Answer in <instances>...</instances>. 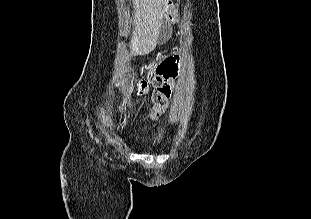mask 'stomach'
<instances>
[{"mask_svg":"<svg viewBox=\"0 0 311 219\" xmlns=\"http://www.w3.org/2000/svg\"><path fill=\"white\" fill-rule=\"evenodd\" d=\"M167 18H168L169 20H171V19H172V16H169V15H168Z\"/></svg>","mask_w":311,"mask_h":219,"instance_id":"0dacf381","label":"stomach"}]
</instances>
